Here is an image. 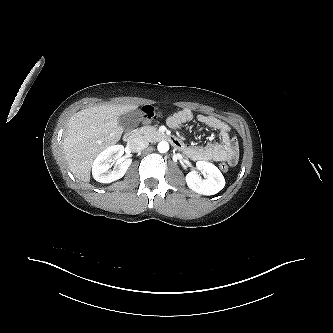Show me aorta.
I'll return each mask as SVG.
<instances>
[{
	"label": "aorta",
	"mask_w": 333,
	"mask_h": 333,
	"mask_svg": "<svg viewBox=\"0 0 333 333\" xmlns=\"http://www.w3.org/2000/svg\"><path fill=\"white\" fill-rule=\"evenodd\" d=\"M157 149L160 153H166L169 150V143L167 141H161L158 143Z\"/></svg>",
	"instance_id": "aorta-1"
}]
</instances>
